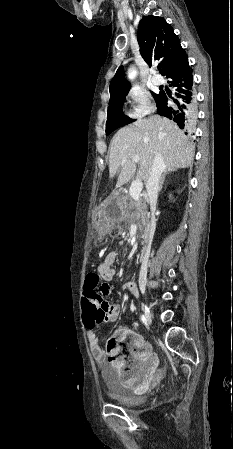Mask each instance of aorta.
Listing matches in <instances>:
<instances>
[{"label": "aorta", "instance_id": "aorta-1", "mask_svg": "<svg viewBox=\"0 0 233 449\" xmlns=\"http://www.w3.org/2000/svg\"><path fill=\"white\" fill-rule=\"evenodd\" d=\"M136 76H137V71L135 70V68L134 67L130 68L128 71V78L130 80H133V79H135Z\"/></svg>", "mask_w": 233, "mask_h": 449}]
</instances>
